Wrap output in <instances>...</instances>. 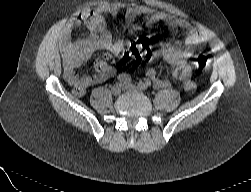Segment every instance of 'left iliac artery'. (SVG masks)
I'll use <instances>...</instances> for the list:
<instances>
[{"label": "left iliac artery", "instance_id": "left-iliac-artery-1", "mask_svg": "<svg viewBox=\"0 0 251 192\" xmlns=\"http://www.w3.org/2000/svg\"><path fill=\"white\" fill-rule=\"evenodd\" d=\"M150 85H151L150 81H146V82L141 81L138 83V87L142 90H146Z\"/></svg>", "mask_w": 251, "mask_h": 192}]
</instances>
